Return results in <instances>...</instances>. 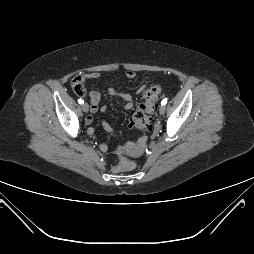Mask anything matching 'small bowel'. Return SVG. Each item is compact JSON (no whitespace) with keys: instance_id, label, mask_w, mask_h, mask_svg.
Wrapping results in <instances>:
<instances>
[{"instance_id":"c3829d8e","label":"small bowel","mask_w":254,"mask_h":254,"mask_svg":"<svg viewBox=\"0 0 254 254\" xmlns=\"http://www.w3.org/2000/svg\"><path fill=\"white\" fill-rule=\"evenodd\" d=\"M125 76L128 79H134L136 78L137 74L136 72L132 71V70H128L125 72ZM100 77V73L98 72H92L86 75V78L88 79H97ZM146 88L145 84H142L138 89H137V94H140L144 91V89ZM108 93L111 96H117L120 97L121 99L124 100L125 102V108L127 110H130L133 108L134 106V99L133 96L129 93L126 92H120L118 91L116 88L114 87H110L108 89ZM90 114L85 118V122L86 124L90 125L92 124L94 117L93 114H95L96 112L100 111H105V107H100L99 106V102L101 99V94L98 91H91L90 92ZM104 128L108 131V132H113V128L110 126V124H108L107 122L104 123ZM88 134L91 136L95 135V130L94 128L90 127L88 129ZM144 144V140H139L137 143H133V144H129L127 147L130 151L132 152H137L139 151ZM100 150L103 152H106L108 150V146L106 145V143L102 142L100 143Z\"/></svg>"}]
</instances>
